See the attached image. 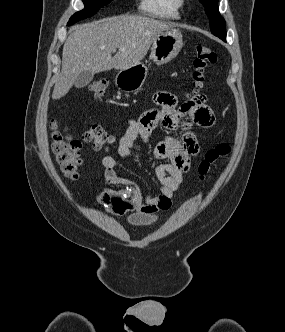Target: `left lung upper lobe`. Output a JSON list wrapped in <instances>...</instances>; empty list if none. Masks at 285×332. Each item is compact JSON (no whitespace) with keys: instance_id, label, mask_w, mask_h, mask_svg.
<instances>
[{"instance_id":"left-lung-upper-lobe-1","label":"left lung upper lobe","mask_w":285,"mask_h":332,"mask_svg":"<svg viewBox=\"0 0 285 332\" xmlns=\"http://www.w3.org/2000/svg\"><path fill=\"white\" fill-rule=\"evenodd\" d=\"M205 7V13L210 19V29L212 34L226 41L225 20L221 17L218 10V0H200Z\"/></svg>"}]
</instances>
